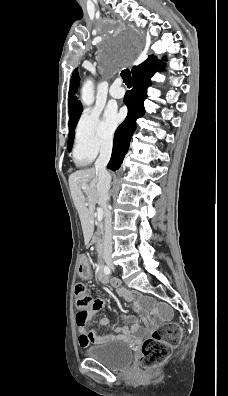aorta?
<instances>
[{
  "label": "aorta",
  "instance_id": "aorta-1",
  "mask_svg": "<svg viewBox=\"0 0 228 396\" xmlns=\"http://www.w3.org/2000/svg\"><path fill=\"white\" fill-rule=\"evenodd\" d=\"M81 101L83 105L90 106L94 102V82L91 79H88L83 84L81 90Z\"/></svg>",
  "mask_w": 228,
  "mask_h": 396
}]
</instances>
